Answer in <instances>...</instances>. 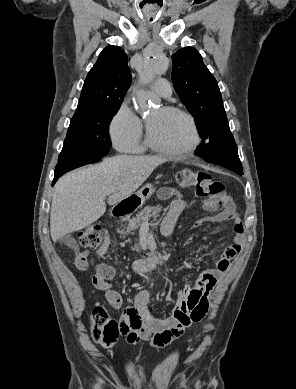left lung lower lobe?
<instances>
[{
	"instance_id": "obj_1",
	"label": "left lung lower lobe",
	"mask_w": 296,
	"mask_h": 389,
	"mask_svg": "<svg viewBox=\"0 0 296 389\" xmlns=\"http://www.w3.org/2000/svg\"><path fill=\"white\" fill-rule=\"evenodd\" d=\"M195 154L206 162L221 165L239 175L243 174L237 146L230 131L229 123L215 129L206 141H202V145L196 149Z\"/></svg>"
}]
</instances>
